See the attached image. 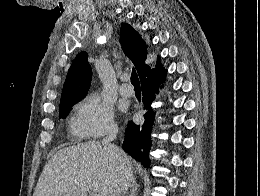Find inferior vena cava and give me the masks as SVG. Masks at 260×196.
Returning a JSON list of instances; mask_svg holds the SVG:
<instances>
[{"label": "inferior vena cava", "instance_id": "1", "mask_svg": "<svg viewBox=\"0 0 260 196\" xmlns=\"http://www.w3.org/2000/svg\"><path fill=\"white\" fill-rule=\"evenodd\" d=\"M117 134L116 132H110L106 138H103L101 144L104 146V148H112L114 150V144H112L113 140H115ZM115 160L119 162V164H125L126 158L125 156H120V154H115ZM123 186H126V184H119V188H121L120 192L121 194H118V196H122L123 194Z\"/></svg>", "mask_w": 260, "mask_h": 196}]
</instances>
